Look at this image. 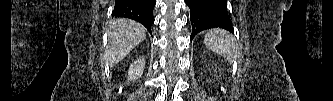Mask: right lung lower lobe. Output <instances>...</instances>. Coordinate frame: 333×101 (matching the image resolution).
<instances>
[{
    "label": "right lung lower lobe",
    "instance_id": "right-lung-lower-lobe-1",
    "mask_svg": "<svg viewBox=\"0 0 333 101\" xmlns=\"http://www.w3.org/2000/svg\"><path fill=\"white\" fill-rule=\"evenodd\" d=\"M156 0H116L112 17H126L144 25L151 32Z\"/></svg>",
    "mask_w": 333,
    "mask_h": 101
}]
</instances>
